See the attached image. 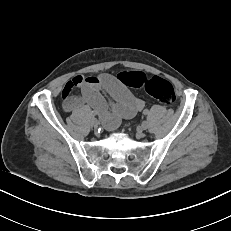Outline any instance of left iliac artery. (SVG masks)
<instances>
[{"label":"left iliac artery","instance_id":"1","mask_svg":"<svg viewBox=\"0 0 231 231\" xmlns=\"http://www.w3.org/2000/svg\"><path fill=\"white\" fill-rule=\"evenodd\" d=\"M149 113V111L147 110V109H145L144 111H143V114L144 115H147Z\"/></svg>","mask_w":231,"mask_h":231}]
</instances>
